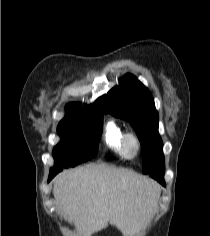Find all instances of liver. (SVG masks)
Instances as JSON below:
<instances>
[{
  "mask_svg": "<svg viewBox=\"0 0 210 236\" xmlns=\"http://www.w3.org/2000/svg\"><path fill=\"white\" fill-rule=\"evenodd\" d=\"M160 186L153 180L106 165H88L59 174L53 195L82 236L110 223L124 236H136L157 208Z\"/></svg>",
  "mask_w": 210,
  "mask_h": 236,
  "instance_id": "1",
  "label": "liver"
}]
</instances>
